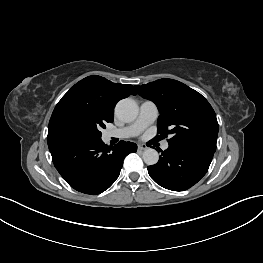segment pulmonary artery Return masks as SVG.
I'll list each match as a JSON object with an SVG mask.
<instances>
[{
  "mask_svg": "<svg viewBox=\"0 0 263 263\" xmlns=\"http://www.w3.org/2000/svg\"><path fill=\"white\" fill-rule=\"evenodd\" d=\"M158 115L159 111L156 104L152 101H144L140 105L139 115L133 123L119 129L108 131L106 137L119 139L134 137L151 125L157 119ZM168 147V142L162 144L163 150H167Z\"/></svg>",
  "mask_w": 263,
  "mask_h": 263,
  "instance_id": "1",
  "label": "pulmonary artery"
}]
</instances>
